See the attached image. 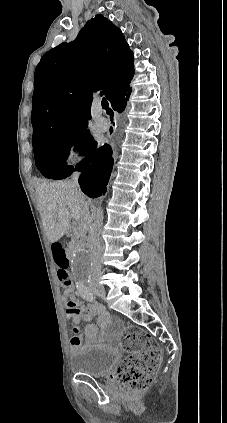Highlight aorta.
Wrapping results in <instances>:
<instances>
[{
	"label": "aorta",
	"instance_id": "aorta-1",
	"mask_svg": "<svg viewBox=\"0 0 227 423\" xmlns=\"http://www.w3.org/2000/svg\"><path fill=\"white\" fill-rule=\"evenodd\" d=\"M91 269L90 253L87 249L77 251L72 257L71 273L83 284Z\"/></svg>",
	"mask_w": 227,
	"mask_h": 423
}]
</instances>
